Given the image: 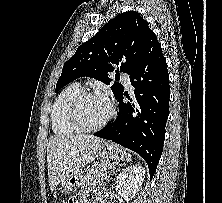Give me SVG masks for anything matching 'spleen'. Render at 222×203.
I'll use <instances>...</instances> for the list:
<instances>
[{
  "label": "spleen",
  "mask_w": 222,
  "mask_h": 203,
  "mask_svg": "<svg viewBox=\"0 0 222 203\" xmlns=\"http://www.w3.org/2000/svg\"><path fill=\"white\" fill-rule=\"evenodd\" d=\"M127 160H128V161L131 160V154H128V156H127Z\"/></svg>",
  "instance_id": "3e777b00"
}]
</instances>
